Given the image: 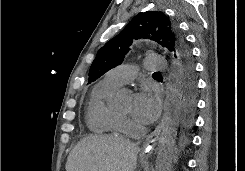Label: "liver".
Segmentation results:
<instances>
[{"label":"liver","instance_id":"obj_1","mask_svg":"<svg viewBox=\"0 0 245 171\" xmlns=\"http://www.w3.org/2000/svg\"><path fill=\"white\" fill-rule=\"evenodd\" d=\"M137 144L114 136L91 135L82 139L67 158L66 171H134Z\"/></svg>","mask_w":245,"mask_h":171}]
</instances>
